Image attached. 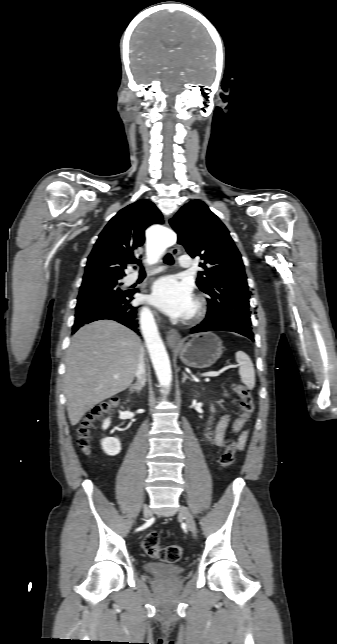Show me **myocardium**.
<instances>
[{
    "label": "myocardium",
    "instance_id": "myocardium-1",
    "mask_svg": "<svg viewBox=\"0 0 337 644\" xmlns=\"http://www.w3.org/2000/svg\"><path fill=\"white\" fill-rule=\"evenodd\" d=\"M207 313V303L202 296H197L191 313L187 316L189 322H198L205 317Z\"/></svg>",
    "mask_w": 337,
    "mask_h": 644
}]
</instances>
